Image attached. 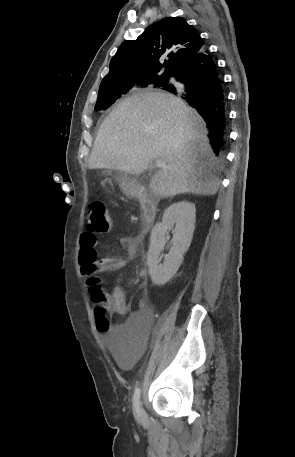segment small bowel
Returning a JSON list of instances; mask_svg holds the SVG:
<instances>
[{"mask_svg": "<svg viewBox=\"0 0 295 457\" xmlns=\"http://www.w3.org/2000/svg\"><path fill=\"white\" fill-rule=\"evenodd\" d=\"M118 243L125 252L124 257H98L96 251L98 240L95 233L84 231L80 236L79 242L80 265L82 266L84 262H88L95 265L100 271H113L123 268L135 256L140 238L120 236ZM111 308L114 314L126 317V322L111 326L106 332V338H137L136 334H145L149 331L154 317L152 307L143 302L140 304L138 311L129 313L125 294L119 282L113 285Z\"/></svg>", "mask_w": 295, "mask_h": 457, "instance_id": "obj_1", "label": "small bowel"}]
</instances>
